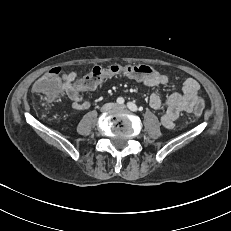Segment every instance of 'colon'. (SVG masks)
Returning a JSON list of instances; mask_svg holds the SVG:
<instances>
[{
    "instance_id": "5ec220e1",
    "label": "colon",
    "mask_w": 231,
    "mask_h": 231,
    "mask_svg": "<svg viewBox=\"0 0 231 231\" xmlns=\"http://www.w3.org/2000/svg\"><path fill=\"white\" fill-rule=\"evenodd\" d=\"M61 68L56 67L43 73L39 81L34 84V91L37 94H43L50 99H54L61 91L58 81ZM164 74V72L154 71L151 67L146 65H119L114 64L107 67H94L85 77L80 79L76 86L80 90H92L96 88L103 80L119 75L131 77L133 82L139 83L143 78L149 76ZM167 74V73H165ZM193 114L196 117L202 116L207 110V101L199 99L195 103Z\"/></svg>"
}]
</instances>
